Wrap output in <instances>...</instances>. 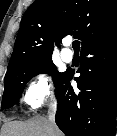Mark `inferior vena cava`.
<instances>
[{"label": "inferior vena cava", "instance_id": "1", "mask_svg": "<svg viewBox=\"0 0 117 136\" xmlns=\"http://www.w3.org/2000/svg\"><path fill=\"white\" fill-rule=\"evenodd\" d=\"M57 109V105L56 103L51 104L50 108H49V112H48V119L51 123H53L55 125V112Z\"/></svg>", "mask_w": 117, "mask_h": 136}]
</instances>
